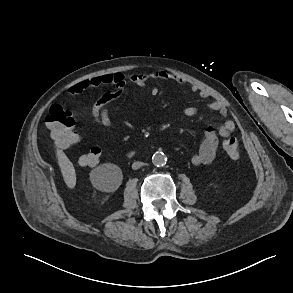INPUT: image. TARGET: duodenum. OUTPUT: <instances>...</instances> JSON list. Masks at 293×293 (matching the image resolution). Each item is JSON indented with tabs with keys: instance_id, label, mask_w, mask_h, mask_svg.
<instances>
[{
	"instance_id": "1",
	"label": "duodenum",
	"mask_w": 293,
	"mask_h": 293,
	"mask_svg": "<svg viewBox=\"0 0 293 293\" xmlns=\"http://www.w3.org/2000/svg\"><path fill=\"white\" fill-rule=\"evenodd\" d=\"M134 155H135V152L134 151H129L128 154H127V156L129 158L133 157Z\"/></svg>"
}]
</instances>
